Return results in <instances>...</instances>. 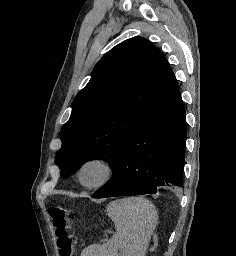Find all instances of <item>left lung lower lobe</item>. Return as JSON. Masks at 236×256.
<instances>
[{
    "instance_id": "1",
    "label": "left lung lower lobe",
    "mask_w": 236,
    "mask_h": 256,
    "mask_svg": "<svg viewBox=\"0 0 236 256\" xmlns=\"http://www.w3.org/2000/svg\"><path fill=\"white\" fill-rule=\"evenodd\" d=\"M186 118L179 89L136 125L113 172L92 197L154 194L158 186H182Z\"/></svg>"
}]
</instances>
